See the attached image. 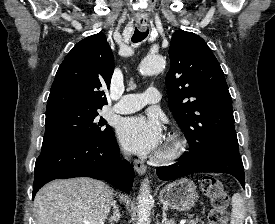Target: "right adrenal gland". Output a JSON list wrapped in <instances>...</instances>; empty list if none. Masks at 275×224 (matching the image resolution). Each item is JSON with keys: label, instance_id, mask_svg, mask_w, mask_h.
Wrapping results in <instances>:
<instances>
[{"label": "right adrenal gland", "instance_id": "1", "mask_svg": "<svg viewBox=\"0 0 275 224\" xmlns=\"http://www.w3.org/2000/svg\"><path fill=\"white\" fill-rule=\"evenodd\" d=\"M112 207H113V215H111L108 219L110 224H113L114 222L119 221L121 216L119 207L115 201L113 202Z\"/></svg>", "mask_w": 275, "mask_h": 224}]
</instances>
